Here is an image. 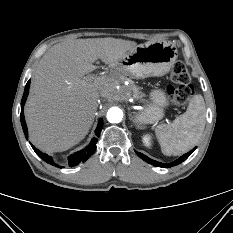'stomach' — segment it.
<instances>
[{
  "label": "stomach",
  "instance_id": "1",
  "mask_svg": "<svg viewBox=\"0 0 233 233\" xmlns=\"http://www.w3.org/2000/svg\"><path fill=\"white\" fill-rule=\"evenodd\" d=\"M177 49L167 41H153L137 45L114 63V68L132 78L162 76L169 72L177 59ZM168 105L165 93L153 90L150 103L135 116L140 124H152L164 116V108Z\"/></svg>",
  "mask_w": 233,
  "mask_h": 233
}]
</instances>
